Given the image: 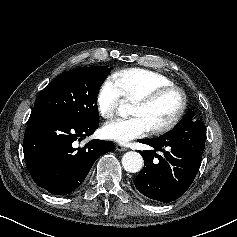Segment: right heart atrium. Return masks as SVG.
I'll return each mask as SVG.
<instances>
[{
    "label": "right heart atrium",
    "instance_id": "obj_1",
    "mask_svg": "<svg viewBox=\"0 0 237 237\" xmlns=\"http://www.w3.org/2000/svg\"><path fill=\"white\" fill-rule=\"evenodd\" d=\"M122 101L123 95L116 82L111 78L105 79L96 94L99 115L104 119L112 118Z\"/></svg>",
    "mask_w": 237,
    "mask_h": 237
}]
</instances>
